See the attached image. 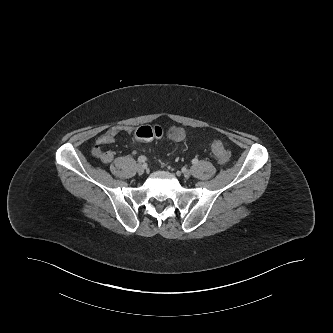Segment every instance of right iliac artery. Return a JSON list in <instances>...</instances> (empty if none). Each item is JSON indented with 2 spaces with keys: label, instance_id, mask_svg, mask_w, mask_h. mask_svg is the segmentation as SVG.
<instances>
[{
  "label": "right iliac artery",
  "instance_id": "82829eb1",
  "mask_svg": "<svg viewBox=\"0 0 333 333\" xmlns=\"http://www.w3.org/2000/svg\"><path fill=\"white\" fill-rule=\"evenodd\" d=\"M145 161H146V157L145 156H139L138 157V162L144 163Z\"/></svg>",
  "mask_w": 333,
  "mask_h": 333
}]
</instances>
